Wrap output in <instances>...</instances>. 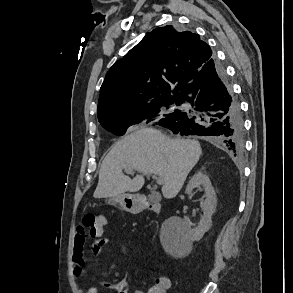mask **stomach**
<instances>
[{"label":"stomach","mask_w":293,"mask_h":293,"mask_svg":"<svg viewBox=\"0 0 293 293\" xmlns=\"http://www.w3.org/2000/svg\"><path fill=\"white\" fill-rule=\"evenodd\" d=\"M108 202L118 203L124 210L129 212L134 210L138 206L135 198L129 194H120L118 196L112 197L111 199H109Z\"/></svg>","instance_id":"stomach-1"}]
</instances>
